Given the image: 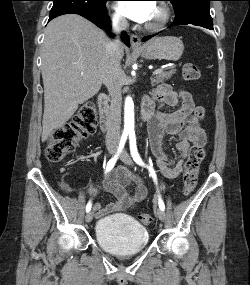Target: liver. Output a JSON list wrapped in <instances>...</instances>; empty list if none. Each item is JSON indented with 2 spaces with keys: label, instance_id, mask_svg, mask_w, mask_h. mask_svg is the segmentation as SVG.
<instances>
[{
  "label": "liver",
  "instance_id": "6515ba94",
  "mask_svg": "<svg viewBox=\"0 0 250 285\" xmlns=\"http://www.w3.org/2000/svg\"><path fill=\"white\" fill-rule=\"evenodd\" d=\"M110 42L102 30L79 15H63L48 24L41 54L42 141L61 128L79 104L99 92L103 82L102 63ZM120 51L123 56L122 45Z\"/></svg>",
  "mask_w": 250,
  "mask_h": 285
}]
</instances>
